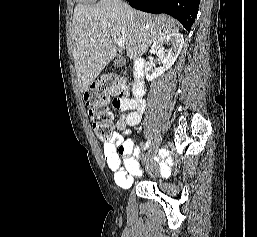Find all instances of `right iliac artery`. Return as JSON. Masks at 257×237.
Masks as SVG:
<instances>
[{"instance_id": "right-iliac-artery-1", "label": "right iliac artery", "mask_w": 257, "mask_h": 237, "mask_svg": "<svg viewBox=\"0 0 257 237\" xmlns=\"http://www.w3.org/2000/svg\"><path fill=\"white\" fill-rule=\"evenodd\" d=\"M150 143H151V139H148L147 142L145 143V146H144L143 149L146 150V149L149 147ZM160 155L164 157V156H167L168 153H167L166 150L162 149V150L160 151Z\"/></svg>"}]
</instances>
